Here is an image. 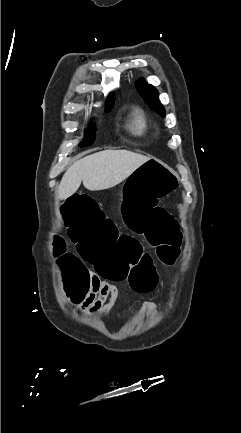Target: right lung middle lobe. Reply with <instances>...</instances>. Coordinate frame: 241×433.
Returning a JSON list of instances; mask_svg holds the SVG:
<instances>
[{
	"label": "right lung middle lobe",
	"instance_id": "right-lung-middle-lobe-1",
	"mask_svg": "<svg viewBox=\"0 0 241 433\" xmlns=\"http://www.w3.org/2000/svg\"><path fill=\"white\" fill-rule=\"evenodd\" d=\"M112 106H113V104L110 105L109 107H106V112H109L111 110ZM85 134H86L85 139L82 141L80 146L91 145L95 140V130L90 129Z\"/></svg>",
	"mask_w": 241,
	"mask_h": 433
}]
</instances>
